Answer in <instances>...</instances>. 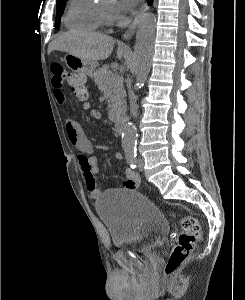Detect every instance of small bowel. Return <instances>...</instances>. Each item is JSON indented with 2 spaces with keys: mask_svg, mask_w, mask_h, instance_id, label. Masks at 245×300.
<instances>
[{
  "mask_svg": "<svg viewBox=\"0 0 245 300\" xmlns=\"http://www.w3.org/2000/svg\"><path fill=\"white\" fill-rule=\"evenodd\" d=\"M52 86L56 103L60 106L64 105L66 103V97L62 90L63 81L59 77L53 75ZM87 110L89 117L92 120L98 121L101 119V113L97 109L87 107ZM65 129L69 141L79 151L77 161L87 190L92 198L97 199L101 195V190L98 184L99 169L97 166V158L93 154V144L84 133L81 125L74 119L70 117L66 119ZM113 157L116 160L122 159L121 153H114ZM139 182L140 177L138 173L130 168L126 169L123 187L132 190L138 186Z\"/></svg>",
  "mask_w": 245,
  "mask_h": 300,
  "instance_id": "small-bowel-1",
  "label": "small bowel"
}]
</instances>
